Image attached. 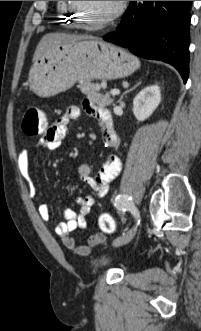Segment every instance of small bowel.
<instances>
[{
	"mask_svg": "<svg viewBox=\"0 0 201 331\" xmlns=\"http://www.w3.org/2000/svg\"><path fill=\"white\" fill-rule=\"evenodd\" d=\"M83 109L88 115L98 120L101 127L102 141L105 146L108 148L115 147L118 144V136L114 130L110 112L90 99L84 101ZM80 115L81 109L78 106H69L60 118L48 126L43 137L40 138L33 147L24 148L20 151L17 159L18 168L22 177L28 184L31 196H35L37 193L30 173V162L35 149L44 148L50 151L58 149L67 134L69 123L78 119ZM121 167V160L113 153L107 155L105 162L96 176L92 175L91 167L88 164H81L79 166V178L93 190L94 194L79 197L77 199L79 210L75 211L71 208L64 209L63 216L65 220L52 224L53 232L68 249L80 255L89 253L90 247L88 245H77L71 233L78 229L86 228V217L91 211L95 197L106 196L108 193V184L118 176ZM38 211L44 221H50L51 212L48 204H40Z\"/></svg>",
	"mask_w": 201,
	"mask_h": 331,
	"instance_id": "c3829d8e",
	"label": "small bowel"
}]
</instances>
